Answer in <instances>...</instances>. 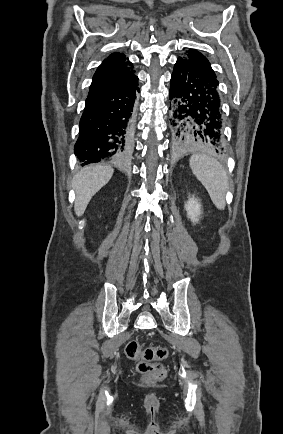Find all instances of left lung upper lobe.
I'll return each mask as SVG.
<instances>
[{"label": "left lung upper lobe", "instance_id": "left-lung-upper-lobe-1", "mask_svg": "<svg viewBox=\"0 0 283 434\" xmlns=\"http://www.w3.org/2000/svg\"><path fill=\"white\" fill-rule=\"evenodd\" d=\"M180 58L186 59L192 64H194L195 66L215 75V72L211 68L208 59L197 50L189 49L188 51H186L185 55Z\"/></svg>", "mask_w": 283, "mask_h": 434}]
</instances>
